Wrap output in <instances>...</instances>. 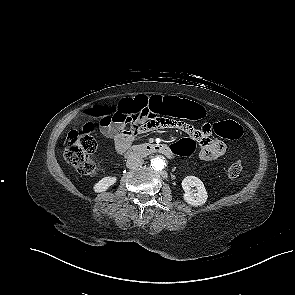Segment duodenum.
Wrapping results in <instances>:
<instances>
[{"label":"duodenum","instance_id":"obj_1","mask_svg":"<svg viewBox=\"0 0 295 295\" xmlns=\"http://www.w3.org/2000/svg\"><path fill=\"white\" fill-rule=\"evenodd\" d=\"M161 153L171 158L174 153H171L167 149V145L161 143H145L131 147L125 154L127 158H135L147 155L149 153Z\"/></svg>","mask_w":295,"mask_h":295}]
</instances>
